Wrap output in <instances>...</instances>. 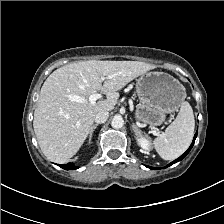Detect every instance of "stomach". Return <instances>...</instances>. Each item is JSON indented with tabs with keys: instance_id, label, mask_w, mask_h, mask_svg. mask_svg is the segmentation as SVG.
<instances>
[{
	"instance_id": "1",
	"label": "stomach",
	"mask_w": 224,
	"mask_h": 224,
	"mask_svg": "<svg viewBox=\"0 0 224 224\" xmlns=\"http://www.w3.org/2000/svg\"><path fill=\"white\" fill-rule=\"evenodd\" d=\"M140 99L135 118L143 123L161 125L167 114L173 113L184 102L186 91L183 85L165 72L147 71L136 83Z\"/></svg>"
}]
</instances>
